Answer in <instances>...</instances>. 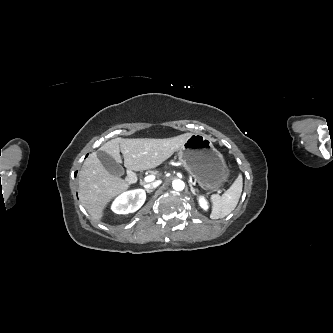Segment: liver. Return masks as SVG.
Here are the masks:
<instances>
[{"label":"liver","mask_w":333,"mask_h":333,"mask_svg":"<svg viewBox=\"0 0 333 333\" xmlns=\"http://www.w3.org/2000/svg\"><path fill=\"white\" fill-rule=\"evenodd\" d=\"M190 135L191 133H185L166 139L119 137L106 142L99 150L109 154L117 163L122 162V152L126 168L134 171L147 170L170 158ZM78 177L79 199L90 216L97 221L102 219L107 204L129 188V183L124 179L105 169L95 152L84 161Z\"/></svg>","instance_id":"6515ba94"}]
</instances>
